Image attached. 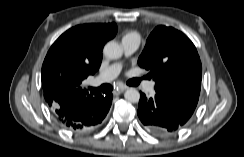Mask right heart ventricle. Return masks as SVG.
<instances>
[{"instance_id": "obj_1", "label": "right heart ventricle", "mask_w": 244, "mask_h": 157, "mask_svg": "<svg viewBox=\"0 0 244 157\" xmlns=\"http://www.w3.org/2000/svg\"><path fill=\"white\" fill-rule=\"evenodd\" d=\"M128 37L136 38L138 40L140 38L139 34L137 32H135V31H130V32L126 33L123 38H128Z\"/></svg>"}]
</instances>
